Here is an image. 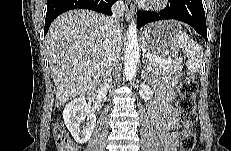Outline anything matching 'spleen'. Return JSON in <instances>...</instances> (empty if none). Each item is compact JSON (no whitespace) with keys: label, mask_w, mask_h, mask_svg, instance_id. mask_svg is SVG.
<instances>
[{"label":"spleen","mask_w":231,"mask_h":151,"mask_svg":"<svg viewBox=\"0 0 231 151\" xmlns=\"http://www.w3.org/2000/svg\"><path fill=\"white\" fill-rule=\"evenodd\" d=\"M178 43L187 57L186 67L191 74L197 73L203 62L202 47L186 33L178 36Z\"/></svg>","instance_id":"3e777b00"}]
</instances>
